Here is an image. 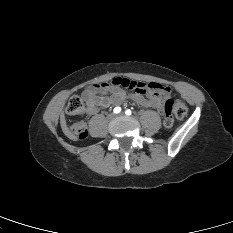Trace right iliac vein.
I'll return each mask as SVG.
<instances>
[{"instance_id": "1", "label": "right iliac vein", "mask_w": 233, "mask_h": 233, "mask_svg": "<svg viewBox=\"0 0 233 233\" xmlns=\"http://www.w3.org/2000/svg\"><path fill=\"white\" fill-rule=\"evenodd\" d=\"M113 118H114V115H113V114H109V115H108V119H109V120H112Z\"/></svg>"}]
</instances>
